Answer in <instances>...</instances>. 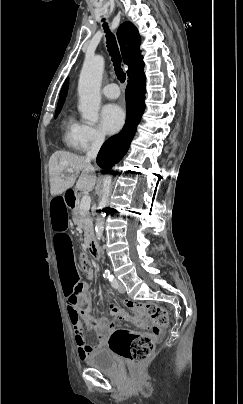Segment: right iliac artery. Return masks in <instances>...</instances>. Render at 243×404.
I'll return each mask as SVG.
<instances>
[{"label": "right iliac artery", "instance_id": "obj_1", "mask_svg": "<svg viewBox=\"0 0 243 404\" xmlns=\"http://www.w3.org/2000/svg\"><path fill=\"white\" fill-rule=\"evenodd\" d=\"M104 278L109 279L111 277L110 273L105 271V273L103 274Z\"/></svg>", "mask_w": 243, "mask_h": 404}]
</instances>
